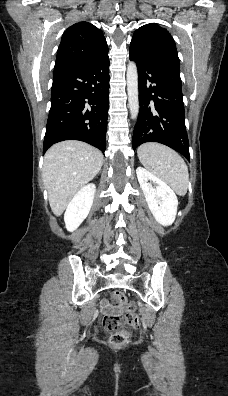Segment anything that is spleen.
I'll list each match as a JSON object with an SVG mask.
<instances>
[{
	"instance_id": "3e777b00",
	"label": "spleen",
	"mask_w": 228,
	"mask_h": 396,
	"mask_svg": "<svg viewBox=\"0 0 228 396\" xmlns=\"http://www.w3.org/2000/svg\"><path fill=\"white\" fill-rule=\"evenodd\" d=\"M140 162L154 175L171 186L180 196L188 190V167L181 156L171 148L156 143H144L137 149Z\"/></svg>"
}]
</instances>
